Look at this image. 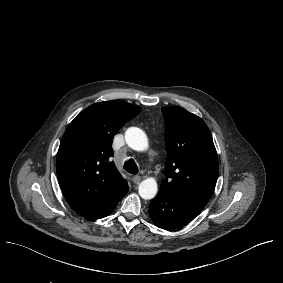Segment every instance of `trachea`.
Wrapping results in <instances>:
<instances>
[{"mask_svg": "<svg viewBox=\"0 0 283 283\" xmlns=\"http://www.w3.org/2000/svg\"><path fill=\"white\" fill-rule=\"evenodd\" d=\"M123 169L130 174H138V166L133 159H129L124 163Z\"/></svg>", "mask_w": 283, "mask_h": 283, "instance_id": "1", "label": "trachea"}]
</instances>
